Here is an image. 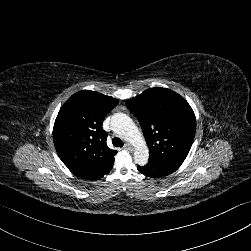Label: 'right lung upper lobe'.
I'll use <instances>...</instances> for the list:
<instances>
[{"instance_id": "1", "label": "right lung upper lobe", "mask_w": 251, "mask_h": 251, "mask_svg": "<svg viewBox=\"0 0 251 251\" xmlns=\"http://www.w3.org/2000/svg\"><path fill=\"white\" fill-rule=\"evenodd\" d=\"M117 104L115 98L84 90L72 95L61 107L53 141L58 156L75 176L98 180L112 169L117 151L108 148L102 123Z\"/></svg>"}]
</instances>
